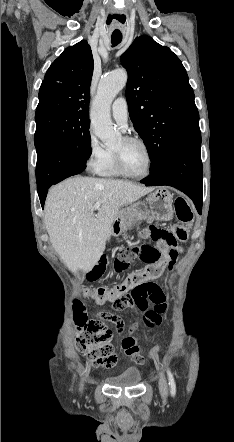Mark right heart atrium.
<instances>
[{"label": "right heart atrium", "mask_w": 234, "mask_h": 442, "mask_svg": "<svg viewBox=\"0 0 234 442\" xmlns=\"http://www.w3.org/2000/svg\"><path fill=\"white\" fill-rule=\"evenodd\" d=\"M107 155V149L90 129L87 136L86 166L89 171L98 173Z\"/></svg>", "instance_id": "1"}]
</instances>
